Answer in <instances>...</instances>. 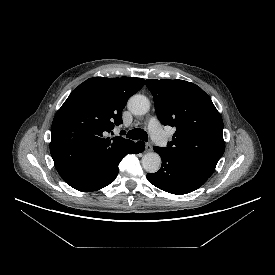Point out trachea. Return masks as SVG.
Wrapping results in <instances>:
<instances>
[{"instance_id":"obj_1","label":"trachea","mask_w":275,"mask_h":275,"mask_svg":"<svg viewBox=\"0 0 275 275\" xmlns=\"http://www.w3.org/2000/svg\"><path fill=\"white\" fill-rule=\"evenodd\" d=\"M127 138L133 139V140H143L145 142L148 141V135L147 132L143 129L134 128L133 130H130L127 135Z\"/></svg>"}]
</instances>
